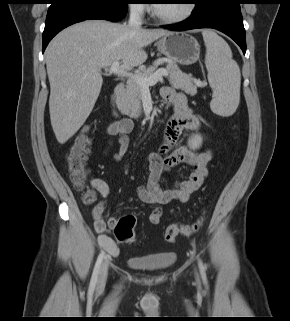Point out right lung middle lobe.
<instances>
[{"mask_svg":"<svg viewBox=\"0 0 290 321\" xmlns=\"http://www.w3.org/2000/svg\"><path fill=\"white\" fill-rule=\"evenodd\" d=\"M61 2H78L82 4L90 5H118V4H128L130 0H52V3H61Z\"/></svg>","mask_w":290,"mask_h":321,"instance_id":"right-lung-middle-lobe-1","label":"right lung middle lobe"}]
</instances>
